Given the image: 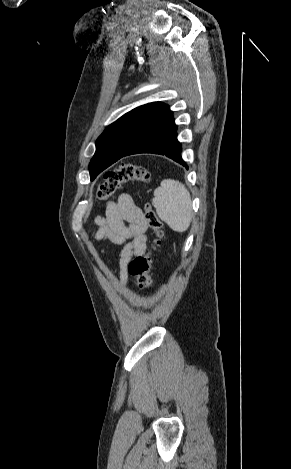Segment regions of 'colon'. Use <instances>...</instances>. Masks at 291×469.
Segmentation results:
<instances>
[{
  "mask_svg": "<svg viewBox=\"0 0 291 469\" xmlns=\"http://www.w3.org/2000/svg\"><path fill=\"white\" fill-rule=\"evenodd\" d=\"M151 176L146 167L137 163H123L104 174L103 181L98 185L96 197L104 200L112 196L121 184L138 181L148 184ZM145 219L153 231L150 249L143 255L134 257L128 265L129 274L135 284L142 289L149 288L153 283L151 274L152 256L160 247L163 238V223L150 204L145 205Z\"/></svg>",
  "mask_w": 291,
  "mask_h": 469,
  "instance_id": "5ec220e1",
  "label": "colon"
}]
</instances>
